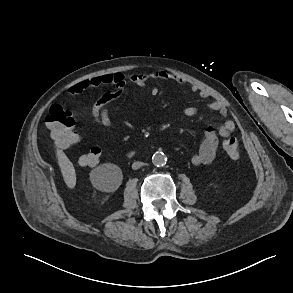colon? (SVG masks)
I'll use <instances>...</instances> for the list:
<instances>
[{
    "mask_svg": "<svg viewBox=\"0 0 293 293\" xmlns=\"http://www.w3.org/2000/svg\"><path fill=\"white\" fill-rule=\"evenodd\" d=\"M46 127L50 135L59 147H68L78 142V134L75 131V120L63 105L55 104L51 106L45 118ZM223 149L226 155L235 160L239 157L238 141L234 137H229L223 142ZM101 157V149L92 147L87 153L80 157L79 163L85 167H95Z\"/></svg>",
    "mask_w": 293,
    "mask_h": 293,
    "instance_id": "obj_1",
    "label": "colon"
}]
</instances>
